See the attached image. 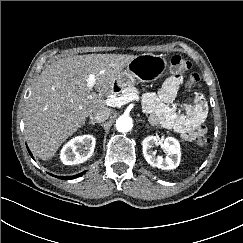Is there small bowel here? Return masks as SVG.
I'll return each instance as SVG.
<instances>
[{"label":"small bowel","instance_id":"c3829d8e","mask_svg":"<svg viewBox=\"0 0 243 243\" xmlns=\"http://www.w3.org/2000/svg\"><path fill=\"white\" fill-rule=\"evenodd\" d=\"M180 84V77L168 78L156 94L145 97V109L151 113L153 124L177 133L185 141H193L205 133L208 106L204 96L196 94L186 105L184 114L176 113L169 104L175 99Z\"/></svg>","mask_w":243,"mask_h":243}]
</instances>
